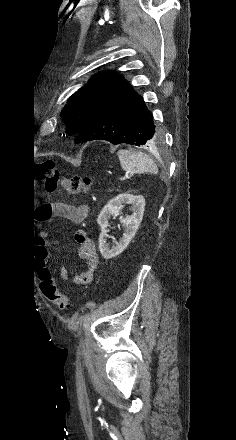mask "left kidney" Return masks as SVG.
I'll return each mask as SVG.
<instances>
[{
	"instance_id": "left-kidney-1",
	"label": "left kidney",
	"mask_w": 236,
	"mask_h": 440,
	"mask_svg": "<svg viewBox=\"0 0 236 440\" xmlns=\"http://www.w3.org/2000/svg\"><path fill=\"white\" fill-rule=\"evenodd\" d=\"M123 204H131L132 214L126 217H121L120 223L124 227V233L119 242H115V245L110 249L106 242L108 232V220L111 216H118L121 212ZM145 208V199L142 195H132L128 193H122L111 199L107 205L104 206L100 212L97 222L101 228L99 236V251L105 259H111L126 249L130 241L136 234L138 227L142 221Z\"/></svg>"
}]
</instances>
